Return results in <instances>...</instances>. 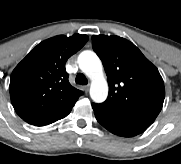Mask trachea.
<instances>
[{"mask_svg": "<svg viewBox=\"0 0 181 164\" xmlns=\"http://www.w3.org/2000/svg\"><path fill=\"white\" fill-rule=\"evenodd\" d=\"M75 81H76L77 84H81V85H85V84L88 83L87 78L82 73L77 74Z\"/></svg>", "mask_w": 181, "mask_h": 164, "instance_id": "trachea-1", "label": "trachea"}]
</instances>
